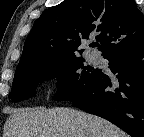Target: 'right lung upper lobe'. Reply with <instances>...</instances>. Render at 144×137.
Masks as SVG:
<instances>
[{
  "label": "right lung upper lobe",
  "mask_w": 144,
  "mask_h": 137,
  "mask_svg": "<svg viewBox=\"0 0 144 137\" xmlns=\"http://www.w3.org/2000/svg\"><path fill=\"white\" fill-rule=\"evenodd\" d=\"M96 35L104 58L144 42V15L134 0H66L45 10L28 35L18 66L77 56Z\"/></svg>",
  "instance_id": "right-lung-upper-lobe-1"
}]
</instances>
